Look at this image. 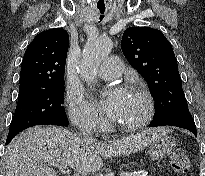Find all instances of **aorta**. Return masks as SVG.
I'll return each instance as SVG.
<instances>
[{"mask_svg":"<svg viewBox=\"0 0 205 176\" xmlns=\"http://www.w3.org/2000/svg\"><path fill=\"white\" fill-rule=\"evenodd\" d=\"M113 47L110 39H97L88 41L79 65L80 76L88 84L96 82L97 70L100 63L109 55Z\"/></svg>","mask_w":205,"mask_h":176,"instance_id":"aorta-1","label":"aorta"}]
</instances>
